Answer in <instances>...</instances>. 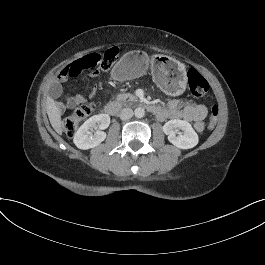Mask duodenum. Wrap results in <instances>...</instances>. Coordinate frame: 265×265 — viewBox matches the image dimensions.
<instances>
[{
    "instance_id": "duodenum-1",
    "label": "duodenum",
    "mask_w": 265,
    "mask_h": 265,
    "mask_svg": "<svg viewBox=\"0 0 265 265\" xmlns=\"http://www.w3.org/2000/svg\"><path fill=\"white\" fill-rule=\"evenodd\" d=\"M147 108L157 116L162 114V108L155 104H147ZM105 113L110 116L117 115L121 110V103L118 101H110L105 105Z\"/></svg>"
}]
</instances>
